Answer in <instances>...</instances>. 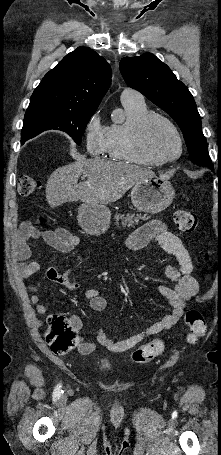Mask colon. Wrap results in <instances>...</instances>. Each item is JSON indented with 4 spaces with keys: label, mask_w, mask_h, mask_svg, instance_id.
Masks as SVG:
<instances>
[{
    "label": "colon",
    "mask_w": 221,
    "mask_h": 455,
    "mask_svg": "<svg viewBox=\"0 0 221 455\" xmlns=\"http://www.w3.org/2000/svg\"><path fill=\"white\" fill-rule=\"evenodd\" d=\"M41 187L39 179L22 176L18 182V192L22 196H28ZM177 228L186 233H193L198 229V218L190 211H178L174 216ZM41 222L44 219L41 218ZM185 323L189 328L188 340L195 342L206 332V321L201 312L189 310L185 314ZM46 340L55 353H65L73 349L77 342V332L71 320L63 315H53L49 318V329L46 333ZM165 344L162 340L156 339L136 349L133 353V360L137 363H145L158 357L164 351Z\"/></svg>",
    "instance_id": "1"
}]
</instances>
